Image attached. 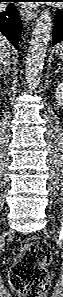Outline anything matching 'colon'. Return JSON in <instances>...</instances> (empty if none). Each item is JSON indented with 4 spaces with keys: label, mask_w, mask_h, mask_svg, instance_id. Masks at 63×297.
Returning <instances> with one entry per match:
<instances>
[{
    "label": "colon",
    "mask_w": 63,
    "mask_h": 297,
    "mask_svg": "<svg viewBox=\"0 0 63 297\" xmlns=\"http://www.w3.org/2000/svg\"><path fill=\"white\" fill-rule=\"evenodd\" d=\"M50 260V249L44 240L25 239L11 270L12 288L22 297H43L49 286L46 267Z\"/></svg>",
    "instance_id": "5ec220e1"
}]
</instances>
